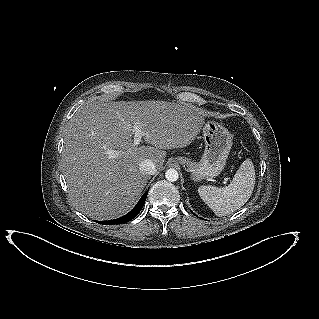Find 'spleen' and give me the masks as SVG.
Returning <instances> with one entry per match:
<instances>
[{
  "label": "spleen",
  "instance_id": "obj_1",
  "mask_svg": "<svg viewBox=\"0 0 319 319\" xmlns=\"http://www.w3.org/2000/svg\"><path fill=\"white\" fill-rule=\"evenodd\" d=\"M255 186V170L250 159H246L228 186H201L199 196L217 216H225L240 209L251 197Z\"/></svg>",
  "mask_w": 319,
  "mask_h": 319
}]
</instances>
